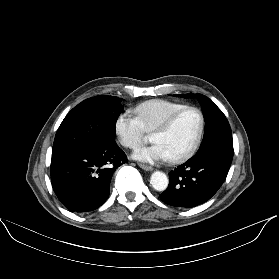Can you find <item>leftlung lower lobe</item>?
I'll return each instance as SVG.
<instances>
[{"mask_svg":"<svg viewBox=\"0 0 279 279\" xmlns=\"http://www.w3.org/2000/svg\"><path fill=\"white\" fill-rule=\"evenodd\" d=\"M232 158L219 150L193 156L170 172L169 185L160 195L161 200L185 208L208 201L225 181Z\"/></svg>","mask_w":279,"mask_h":279,"instance_id":"0a47b994","label":"left lung lower lobe"}]
</instances>
